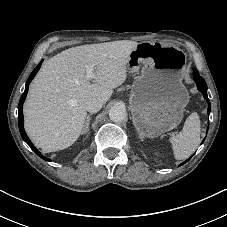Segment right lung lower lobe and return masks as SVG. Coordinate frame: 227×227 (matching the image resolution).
<instances>
[{
  "instance_id": "98d812e1",
  "label": "right lung lower lobe",
  "mask_w": 227,
  "mask_h": 227,
  "mask_svg": "<svg viewBox=\"0 0 227 227\" xmlns=\"http://www.w3.org/2000/svg\"><path fill=\"white\" fill-rule=\"evenodd\" d=\"M41 63L37 65V67L32 71V73L30 74L27 82H26V86H25V91L22 94L20 101H19V105H18V124H19V130H20V134L23 138V140L30 146V148L42 159H44L45 161H51V159L43 156L36 148L35 146L32 144V142L30 141V139L28 138L27 134L25 133L24 127H23V103L24 100L26 98V95L28 93V86L30 84V82L32 81V79L34 78V76L36 75V73L38 72V70L40 69Z\"/></svg>"
}]
</instances>
